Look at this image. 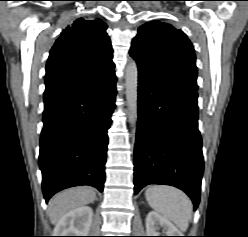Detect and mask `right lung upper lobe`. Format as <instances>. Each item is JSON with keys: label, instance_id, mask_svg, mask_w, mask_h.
Returning <instances> with one entry per match:
<instances>
[{"label": "right lung upper lobe", "instance_id": "1", "mask_svg": "<svg viewBox=\"0 0 248 237\" xmlns=\"http://www.w3.org/2000/svg\"><path fill=\"white\" fill-rule=\"evenodd\" d=\"M101 19L79 18L61 32L46 65V90L95 79L112 69V46Z\"/></svg>", "mask_w": 248, "mask_h": 237}]
</instances>
